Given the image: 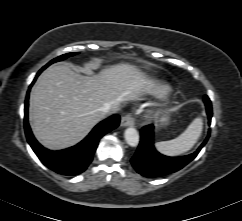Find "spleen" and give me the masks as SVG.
<instances>
[{
	"instance_id": "spleen-1",
	"label": "spleen",
	"mask_w": 242,
	"mask_h": 221,
	"mask_svg": "<svg viewBox=\"0 0 242 221\" xmlns=\"http://www.w3.org/2000/svg\"><path fill=\"white\" fill-rule=\"evenodd\" d=\"M203 129V121L195 118L187 129L177 138L155 143L156 149L167 156L181 155L190 150L198 141Z\"/></svg>"
}]
</instances>
